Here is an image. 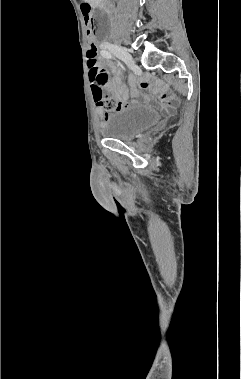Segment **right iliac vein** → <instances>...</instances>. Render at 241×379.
Returning <instances> with one entry per match:
<instances>
[{"instance_id": "63e3f726", "label": "right iliac vein", "mask_w": 241, "mask_h": 379, "mask_svg": "<svg viewBox=\"0 0 241 379\" xmlns=\"http://www.w3.org/2000/svg\"><path fill=\"white\" fill-rule=\"evenodd\" d=\"M107 49H109L112 53H114L118 58H120L122 61L127 63L132 69L136 70L137 66L135 62L132 59V56L129 54V52L115 44H109L106 46Z\"/></svg>"}]
</instances>
